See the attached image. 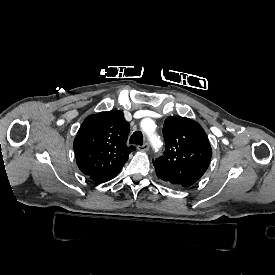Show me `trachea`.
<instances>
[{
	"label": "trachea",
	"instance_id": "trachea-1",
	"mask_svg": "<svg viewBox=\"0 0 275 275\" xmlns=\"http://www.w3.org/2000/svg\"><path fill=\"white\" fill-rule=\"evenodd\" d=\"M129 142L131 144H136V145H143V134L140 131H135L131 137Z\"/></svg>",
	"mask_w": 275,
	"mask_h": 275
}]
</instances>
